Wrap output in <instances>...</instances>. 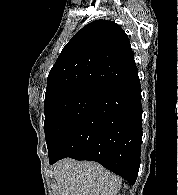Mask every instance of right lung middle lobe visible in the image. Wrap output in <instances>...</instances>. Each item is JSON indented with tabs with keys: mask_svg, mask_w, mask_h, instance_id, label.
<instances>
[{
	"mask_svg": "<svg viewBox=\"0 0 178 195\" xmlns=\"http://www.w3.org/2000/svg\"><path fill=\"white\" fill-rule=\"evenodd\" d=\"M97 91L77 90L53 96L44 102V131L50 155L78 124L97 96Z\"/></svg>",
	"mask_w": 178,
	"mask_h": 195,
	"instance_id": "right-lung-middle-lobe-1",
	"label": "right lung middle lobe"
}]
</instances>
